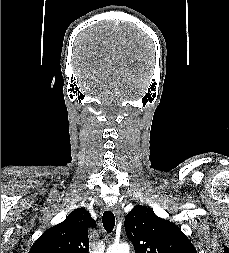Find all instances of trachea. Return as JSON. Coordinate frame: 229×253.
<instances>
[{
	"label": "trachea",
	"instance_id": "3493384b",
	"mask_svg": "<svg viewBox=\"0 0 229 253\" xmlns=\"http://www.w3.org/2000/svg\"><path fill=\"white\" fill-rule=\"evenodd\" d=\"M102 222L105 230L110 233L114 229L115 226V217L113 212L105 211L103 213Z\"/></svg>",
	"mask_w": 229,
	"mask_h": 253
}]
</instances>
